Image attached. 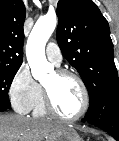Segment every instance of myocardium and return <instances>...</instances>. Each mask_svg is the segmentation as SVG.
Masks as SVG:
<instances>
[{
  "instance_id": "f54148a6",
  "label": "myocardium",
  "mask_w": 119,
  "mask_h": 141,
  "mask_svg": "<svg viewBox=\"0 0 119 141\" xmlns=\"http://www.w3.org/2000/svg\"><path fill=\"white\" fill-rule=\"evenodd\" d=\"M55 73L59 77H71L77 81V83L79 84L81 91H82L83 103H82V107H81L80 111L77 114H75L73 116L63 115L56 109V107L53 104V101H52V98H51L49 91L43 85V100H44V106H45L46 111L49 114H51L52 116H54L60 120H63V121H77V120L81 119L87 113V111L89 109V105H90L89 91L87 89L85 82L77 73L72 72L67 69H57L55 71Z\"/></svg>"
}]
</instances>
